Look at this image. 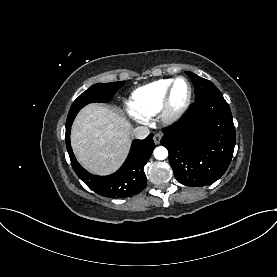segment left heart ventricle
I'll list each match as a JSON object with an SVG mask.
<instances>
[{"instance_id":"b2bd125f","label":"left heart ventricle","mask_w":277,"mask_h":277,"mask_svg":"<svg viewBox=\"0 0 277 277\" xmlns=\"http://www.w3.org/2000/svg\"><path fill=\"white\" fill-rule=\"evenodd\" d=\"M188 94V86L184 81H179L174 89L172 104L174 107L180 106L186 99Z\"/></svg>"}]
</instances>
